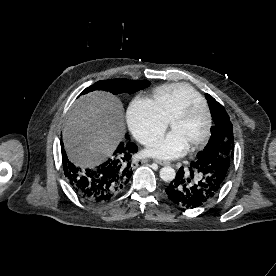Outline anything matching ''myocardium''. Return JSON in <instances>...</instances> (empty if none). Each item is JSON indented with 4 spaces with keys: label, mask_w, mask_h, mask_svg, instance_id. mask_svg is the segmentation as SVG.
Here are the masks:
<instances>
[{
    "label": "myocardium",
    "mask_w": 276,
    "mask_h": 276,
    "mask_svg": "<svg viewBox=\"0 0 276 276\" xmlns=\"http://www.w3.org/2000/svg\"><path fill=\"white\" fill-rule=\"evenodd\" d=\"M198 111H203L206 114L207 124L202 138L189 148V151L191 152L202 149L207 144L211 136L212 126H213V116L208 105L206 103L193 102L188 106H186L181 111H179L177 114H175L170 120V126H171L172 123L176 121L186 120L191 118Z\"/></svg>",
    "instance_id": "1"
}]
</instances>
